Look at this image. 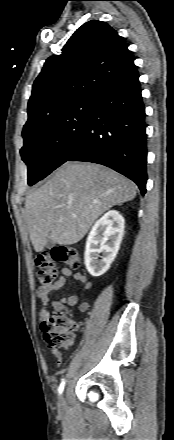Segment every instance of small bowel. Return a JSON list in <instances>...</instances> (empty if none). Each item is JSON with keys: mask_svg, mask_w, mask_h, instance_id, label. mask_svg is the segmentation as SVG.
<instances>
[{"mask_svg": "<svg viewBox=\"0 0 174 440\" xmlns=\"http://www.w3.org/2000/svg\"><path fill=\"white\" fill-rule=\"evenodd\" d=\"M62 275L58 277L50 286H41L37 289L36 295L41 303L39 318L44 321L49 316V307L56 312L66 311L68 308L77 305L78 297L76 295H67L61 298H52V295L62 289L68 279L73 278L83 289L91 287L88 278L79 272H73L67 267L61 269ZM80 312H86L89 309L88 302H81L78 306ZM54 355L61 359V352L54 351Z\"/></svg>", "mask_w": 174, "mask_h": 440, "instance_id": "obj_1", "label": "small bowel"}]
</instances>
